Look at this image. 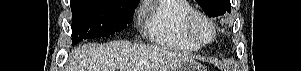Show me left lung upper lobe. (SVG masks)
<instances>
[{
    "label": "left lung upper lobe",
    "mask_w": 301,
    "mask_h": 71,
    "mask_svg": "<svg viewBox=\"0 0 301 71\" xmlns=\"http://www.w3.org/2000/svg\"><path fill=\"white\" fill-rule=\"evenodd\" d=\"M209 17H217L231 12L230 0H196Z\"/></svg>",
    "instance_id": "5c2ea615"
}]
</instances>
